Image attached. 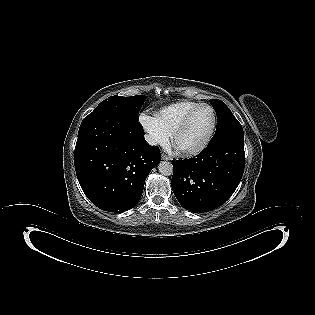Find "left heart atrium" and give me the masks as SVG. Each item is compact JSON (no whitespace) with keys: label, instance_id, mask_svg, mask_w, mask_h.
<instances>
[{"label":"left heart atrium","instance_id":"1","mask_svg":"<svg viewBox=\"0 0 315 315\" xmlns=\"http://www.w3.org/2000/svg\"><path fill=\"white\" fill-rule=\"evenodd\" d=\"M173 151L174 152H178L179 151V149L175 146V144H173Z\"/></svg>","mask_w":315,"mask_h":315}]
</instances>
